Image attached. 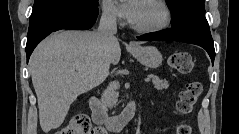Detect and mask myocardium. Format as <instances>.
I'll return each mask as SVG.
<instances>
[{
  "instance_id": "f54148a6",
  "label": "myocardium",
  "mask_w": 239,
  "mask_h": 134,
  "mask_svg": "<svg viewBox=\"0 0 239 134\" xmlns=\"http://www.w3.org/2000/svg\"><path fill=\"white\" fill-rule=\"evenodd\" d=\"M148 3L155 6L161 13V19L157 24L151 26H135L133 28L139 32L155 33L165 29L171 20L170 10L163 1L159 0H146Z\"/></svg>"
}]
</instances>
